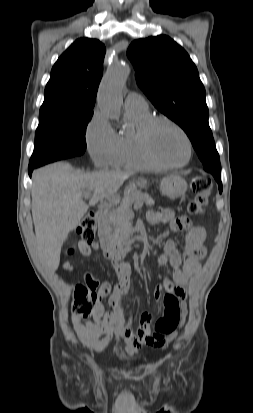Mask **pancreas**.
<instances>
[{"instance_id":"cf45deb5","label":"pancreas","mask_w":253,"mask_h":413,"mask_svg":"<svg viewBox=\"0 0 253 413\" xmlns=\"http://www.w3.org/2000/svg\"><path fill=\"white\" fill-rule=\"evenodd\" d=\"M132 203L138 207L143 203L152 206L154 205V200L147 193L133 192L123 198L120 206L104 212L103 215L106 223L113 227L114 236L119 246H129L134 242L132 238L133 229L131 227V220L133 218Z\"/></svg>"}]
</instances>
